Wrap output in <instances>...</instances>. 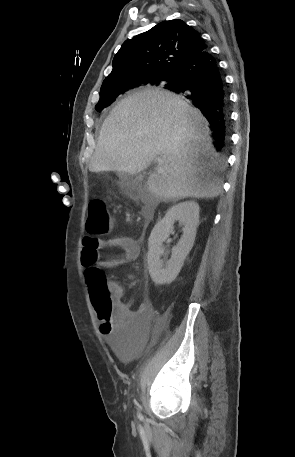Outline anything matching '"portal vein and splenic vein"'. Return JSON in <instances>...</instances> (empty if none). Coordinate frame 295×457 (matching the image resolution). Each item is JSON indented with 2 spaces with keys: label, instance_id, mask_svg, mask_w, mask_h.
Listing matches in <instances>:
<instances>
[{
  "label": "portal vein and splenic vein",
  "instance_id": "18ae733b",
  "mask_svg": "<svg viewBox=\"0 0 295 457\" xmlns=\"http://www.w3.org/2000/svg\"><path fill=\"white\" fill-rule=\"evenodd\" d=\"M158 165L162 166L163 165V159L161 157L156 158Z\"/></svg>",
  "mask_w": 295,
  "mask_h": 457
}]
</instances>
